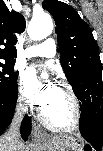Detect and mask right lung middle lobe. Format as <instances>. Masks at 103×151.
Masks as SVG:
<instances>
[{
  "mask_svg": "<svg viewBox=\"0 0 103 151\" xmlns=\"http://www.w3.org/2000/svg\"><path fill=\"white\" fill-rule=\"evenodd\" d=\"M13 64L0 62V96L14 99L17 96V74L13 71Z\"/></svg>",
  "mask_w": 103,
  "mask_h": 151,
  "instance_id": "obj_1",
  "label": "right lung middle lobe"
}]
</instances>
